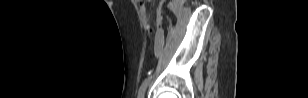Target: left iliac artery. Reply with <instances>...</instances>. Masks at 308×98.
Listing matches in <instances>:
<instances>
[{"mask_svg":"<svg viewBox=\"0 0 308 98\" xmlns=\"http://www.w3.org/2000/svg\"><path fill=\"white\" fill-rule=\"evenodd\" d=\"M166 29V26L164 24H159L158 25V33L155 34V39H156V55L157 57L161 55V48H162V42H163V35L165 34V30ZM158 59V58H157ZM152 76H149L147 77L143 83L141 84L140 86V89H139V92H138V98H143L144 97V93H145V90L148 86V84L150 83V80H151Z\"/></svg>","mask_w":308,"mask_h":98,"instance_id":"obj_1","label":"left iliac artery"}]
</instances>
